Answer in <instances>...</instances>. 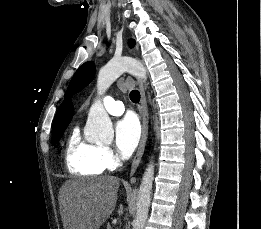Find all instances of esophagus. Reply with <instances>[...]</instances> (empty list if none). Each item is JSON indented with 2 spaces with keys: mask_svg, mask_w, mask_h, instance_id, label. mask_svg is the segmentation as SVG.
<instances>
[{
  "mask_svg": "<svg viewBox=\"0 0 261 229\" xmlns=\"http://www.w3.org/2000/svg\"><path fill=\"white\" fill-rule=\"evenodd\" d=\"M137 84L139 86L140 94H141V100H140V107L139 111L142 115V130H141V138L139 141V145L137 148V152L135 154V157L133 159L131 170H130V177H132L142 159L144 148L146 144V139L148 135V119H149V113H148V105L146 100V94L144 90V85L142 80L137 79Z\"/></svg>",
  "mask_w": 261,
  "mask_h": 229,
  "instance_id": "34e87169",
  "label": "esophagus"
}]
</instances>
